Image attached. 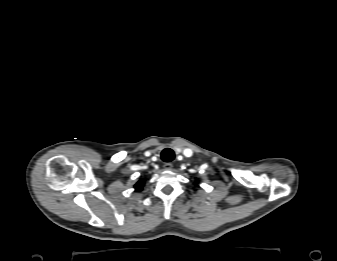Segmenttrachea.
<instances>
[{
	"label": "trachea",
	"mask_w": 337,
	"mask_h": 261,
	"mask_svg": "<svg viewBox=\"0 0 337 261\" xmlns=\"http://www.w3.org/2000/svg\"><path fill=\"white\" fill-rule=\"evenodd\" d=\"M175 157V153L172 149L166 148L161 152V159L164 162H171Z\"/></svg>",
	"instance_id": "trachea-1"
}]
</instances>
